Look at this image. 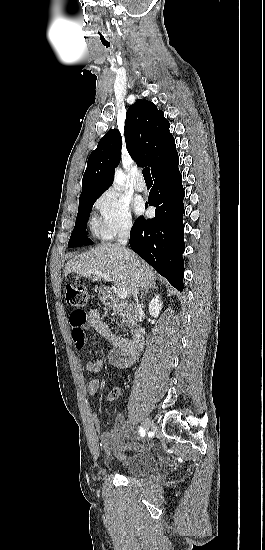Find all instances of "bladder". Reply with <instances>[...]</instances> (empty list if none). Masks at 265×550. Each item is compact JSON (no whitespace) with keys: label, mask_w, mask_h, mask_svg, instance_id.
<instances>
[{"label":"bladder","mask_w":265,"mask_h":550,"mask_svg":"<svg viewBox=\"0 0 265 550\" xmlns=\"http://www.w3.org/2000/svg\"><path fill=\"white\" fill-rule=\"evenodd\" d=\"M113 457L128 474L144 475L155 467L154 457L147 448L138 449L125 445Z\"/></svg>","instance_id":"bladder-1"}]
</instances>
